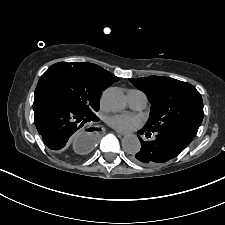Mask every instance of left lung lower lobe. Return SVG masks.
Returning <instances> with one entry per match:
<instances>
[{
    "mask_svg": "<svg viewBox=\"0 0 225 225\" xmlns=\"http://www.w3.org/2000/svg\"><path fill=\"white\" fill-rule=\"evenodd\" d=\"M199 126L185 125L155 133L156 138L145 141L139 137L141 149L133 159L141 164L155 166L177 157L194 139ZM140 135L151 137L150 131L142 128Z\"/></svg>",
    "mask_w": 225,
    "mask_h": 225,
    "instance_id": "obj_1",
    "label": "left lung lower lobe"
}]
</instances>
